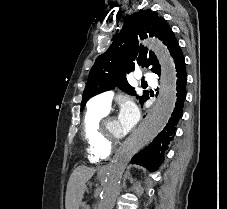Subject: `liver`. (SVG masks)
<instances>
[{
  "label": "liver",
  "mask_w": 227,
  "mask_h": 209,
  "mask_svg": "<svg viewBox=\"0 0 227 209\" xmlns=\"http://www.w3.org/2000/svg\"><path fill=\"white\" fill-rule=\"evenodd\" d=\"M95 169H87V167H77L73 171L67 185L66 191V209H79V205L86 191L85 181L92 177Z\"/></svg>",
  "instance_id": "6515ba94"
}]
</instances>
